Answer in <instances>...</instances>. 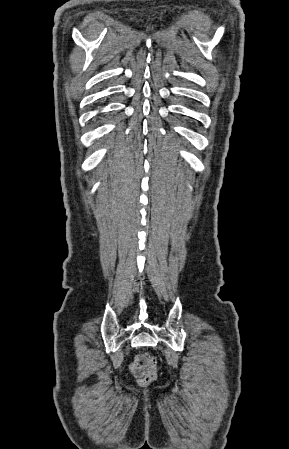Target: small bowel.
<instances>
[{"mask_svg": "<svg viewBox=\"0 0 289 449\" xmlns=\"http://www.w3.org/2000/svg\"><path fill=\"white\" fill-rule=\"evenodd\" d=\"M130 371L136 376L141 377L147 373L150 369L147 362V354H137L135 355L133 361L129 365Z\"/></svg>", "mask_w": 289, "mask_h": 449, "instance_id": "small-bowel-1", "label": "small bowel"}]
</instances>
